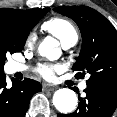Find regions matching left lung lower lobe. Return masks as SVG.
I'll list each match as a JSON object with an SVG mask.
<instances>
[{
  "instance_id": "0a47b994",
  "label": "left lung lower lobe",
  "mask_w": 117,
  "mask_h": 117,
  "mask_svg": "<svg viewBox=\"0 0 117 117\" xmlns=\"http://www.w3.org/2000/svg\"><path fill=\"white\" fill-rule=\"evenodd\" d=\"M86 96H79V106L74 113L57 117H110L117 107V85L108 83L87 84Z\"/></svg>"
}]
</instances>
